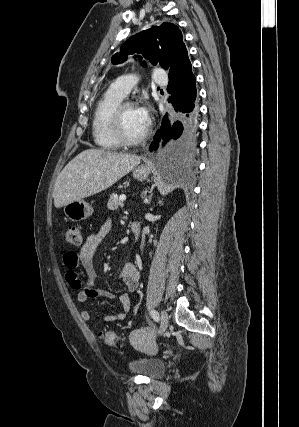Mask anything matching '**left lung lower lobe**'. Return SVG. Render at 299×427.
<instances>
[{"mask_svg": "<svg viewBox=\"0 0 299 427\" xmlns=\"http://www.w3.org/2000/svg\"><path fill=\"white\" fill-rule=\"evenodd\" d=\"M168 91L172 94L169 99L180 113L179 120L172 127L169 121L163 119L162 126L154 137L150 149L156 150L160 139L172 140L168 155L171 158H190L196 151V133L198 126V108L196 99V79L192 73L191 62L188 58L185 44L182 43L172 64L169 67Z\"/></svg>", "mask_w": 299, "mask_h": 427, "instance_id": "1", "label": "left lung lower lobe"}]
</instances>
